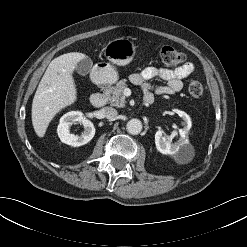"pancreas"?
I'll use <instances>...</instances> for the list:
<instances>
[{"label": "pancreas", "mask_w": 247, "mask_h": 247, "mask_svg": "<svg viewBox=\"0 0 247 247\" xmlns=\"http://www.w3.org/2000/svg\"><path fill=\"white\" fill-rule=\"evenodd\" d=\"M125 88H127L125 79L120 80L114 87H112L111 96L109 97L112 106H125L126 97L123 95V91Z\"/></svg>", "instance_id": "cf45deb5"}]
</instances>
